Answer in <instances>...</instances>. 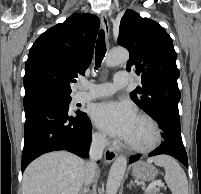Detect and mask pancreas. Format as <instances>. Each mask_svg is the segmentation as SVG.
<instances>
[{
	"instance_id": "pancreas-1",
	"label": "pancreas",
	"mask_w": 201,
	"mask_h": 194,
	"mask_svg": "<svg viewBox=\"0 0 201 194\" xmlns=\"http://www.w3.org/2000/svg\"><path fill=\"white\" fill-rule=\"evenodd\" d=\"M159 191H160L159 188L154 187L152 189L145 191V194H159Z\"/></svg>"
}]
</instances>
